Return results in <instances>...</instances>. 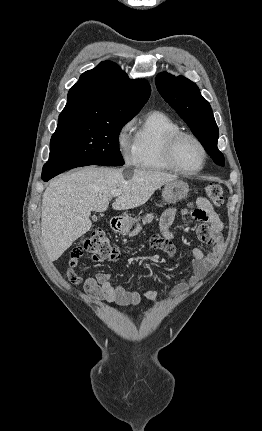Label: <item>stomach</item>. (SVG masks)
Masks as SVG:
<instances>
[{
  "instance_id": "1",
  "label": "stomach",
  "mask_w": 262,
  "mask_h": 431,
  "mask_svg": "<svg viewBox=\"0 0 262 431\" xmlns=\"http://www.w3.org/2000/svg\"><path fill=\"white\" fill-rule=\"evenodd\" d=\"M188 192V184L182 180L175 179L165 184L162 190V197L168 203H175L186 198ZM136 221V219H133L131 217H125L120 221V226L118 227V230L121 233L127 234Z\"/></svg>"
}]
</instances>
